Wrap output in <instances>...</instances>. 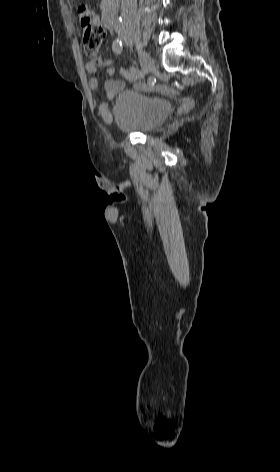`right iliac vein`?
Segmentation results:
<instances>
[{"label":"right iliac vein","mask_w":280,"mask_h":472,"mask_svg":"<svg viewBox=\"0 0 280 472\" xmlns=\"http://www.w3.org/2000/svg\"><path fill=\"white\" fill-rule=\"evenodd\" d=\"M126 42L127 44L132 46L134 43V39L128 38ZM139 59H140L141 67H142V72L144 74H147L150 71H152V69L154 68V62L148 53H146L145 51L139 50Z\"/></svg>","instance_id":"63e3f726"}]
</instances>
